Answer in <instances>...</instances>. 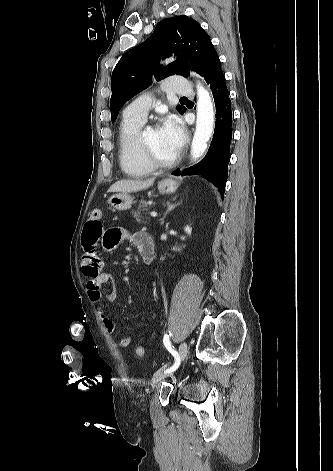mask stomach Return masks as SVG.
Segmentation results:
<instances>
[{"mask_svg": "<svg viewBox=\"0 0 333 471\" xmlns=\"http://www.w3.org/2000/svg\"><path fill=\"white\" fill-rule=\"evenodd\" d=\"M179 184L172 179H163L158 183V190L162 194L174 193ZM108 203L116 210H128L133 204V197L128 193H118L112 195Z\"/></svg>", "mask_w": 333, "mask_h": 471, "instance_id": "1", "label": "stomach"}]
</instances>
